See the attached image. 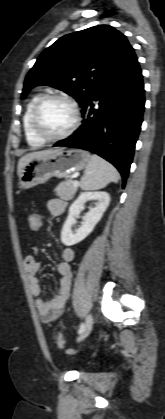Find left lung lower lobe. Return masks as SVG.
Returning a JSON list of instances; mask_svg holds the SVG:
<instances>
[{"label": "left lung lower lobe", "mask_w": 165, "mask_h": 419, "mask_svg": "<svg viewBox=\"0 0 165 419\" xmlns=\"http://www.w3.org/2000/svg\"><path fill=\"white\" fill-rule=\"evenodd\" d=\"M144 103L142 72L133 54L103 80L82 108L83 124L54 146L80 148L100 155L119 170L124 186L141 129Z\"/></svg>", "instance_id": "1"}]
</instances>
